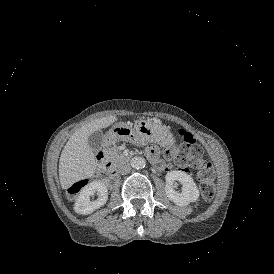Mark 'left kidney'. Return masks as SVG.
Instances as JSON below:
<instances>
[{"label":"left kidney","instance_id":"1","mask_svg":"<svg viewBox=\"0 0 274 274\" xmlns=\"http://www.w3.org/2000/svg\"><path fill=\"white\" fill-rule=\"evenodd\" d=\"M165 193L167 197L178 206H187L199 198V190L193 178L183 171H170L165 176ZM175 181L182 184V191L179 193L175 188Z\"/></svg>","mask_w":274,"mask_h":274}]
</instances>
